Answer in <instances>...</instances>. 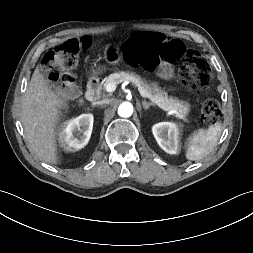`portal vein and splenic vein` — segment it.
I'll return each mask as SVG.
<instances>
[{"instance_id":"obj_1","label":"portal vein and splenic vein","mask_w":253,"mask_h":253,"mask_svg":"<svg viewBox=\"0 0 253 253\" xmlns=\"http://www.w3.org/2000/svg\"><path fill=\"white\" fill-rule=\"evenodd\" d=\"M137 87H138V91L141 94V96L145 97L146 96L145 91L140 86H137ZM105 89H106L107 92H114L115 89H116V85L114 83H109V84L106 85ZM168 112H169V114H175L178 117L184 118V116L180 115L176 110H170Z\"/></svg>"}]
</instances>
